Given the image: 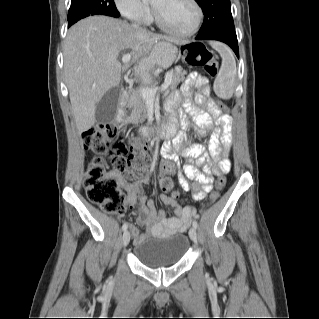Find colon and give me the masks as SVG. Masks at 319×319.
Wrapping results in <instances>:
<instances>
[{
	"label": "colon",
	"mask_w": 319,
	"mask_h": 319,
	"mask_svg": "<svg viewBox=\"0 0 319 319\" xmlns=\"http://www.w3.org/2000/svg\"><path fill=\"white\" fill-rule=\"evenodd\" d=\"M183 60L193 67H204L210 77L218 75V63L213 54L205 47L197 44H185L182 46ZM213 111L226 110V106L219 100L211 101ZM119 128L112 122L98 124L91 128L83 137L84 146L97 155H108L113 164V172L124 174L128 178L140 176L146 178L152 164L141 145L139 137L132 138V144L128 145L120 136ZM113 172L108 171L99 156L94 157L87 166L85 176V189L91 202L98 204L108 214H123L127 209L124 193L119 188ZM160 184L168 188L171 183L166 178L160 179ZM226 185V179L219 177L216 180V188L211 200L216 201L219 191ZM172 197L180 200L177 192Z\"/></svg>",
	"instance_id": "obj_1"
}]
</instances>
